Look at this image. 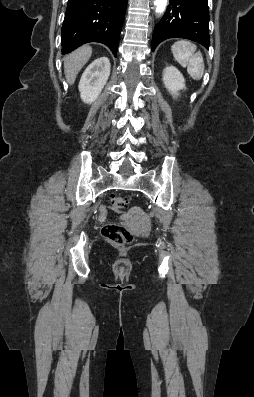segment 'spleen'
Masks as SVG:
<instances>
[{"label": "spleen", "instance_id": "1", "mask_svg": "<svg viewBox=\"0 0 254 397\" xmlns=\"http://www.w3.org/2000/svg\"><path fill=\"white\" fill-rule=\"evenodd\" d=\"M176 61L187 67L188 74L194 80H200L204 74V60L200 51L196 52V45L187 40H180L171 47Z\"/></svg>", "mask_w": 254, "mask_h": 397}]
</instances>
